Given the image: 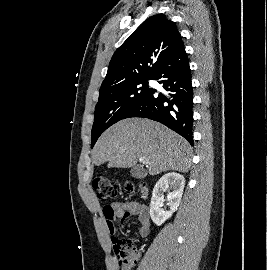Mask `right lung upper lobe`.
Listing matches in <instances>:
<instances>
[{
	"label": "right lung upper lobe",
	"mask_w": 267,
	"mask_h": 270,
	"mask_svg": "<svg viewBox=\"0 0 267 270\" xmlns=\"http://www.w3.org/2000/svg\"><path fill=\"white\" fill-rule=\"evenodd\" d=\"M182 43L174 22L162 14L149 17L113 54L100 91L126 81L151 77Z\"/></svg>",
	"instance_id": "1"
}]
</instances>
